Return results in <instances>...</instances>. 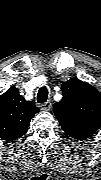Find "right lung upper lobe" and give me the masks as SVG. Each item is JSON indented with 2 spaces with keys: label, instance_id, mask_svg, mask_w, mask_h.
I'll return each mask as SVG.
<instances>
[{
  "label": "right lung upper lobe",
  "instance_id": "obj_1",
  "mask_svg": "<svg viewBox=\"0 0 101 180\" xmlns=\"http://www.w3.org/2000/svg\"><path fill=\"white\" fill-rule=\"evenodd\" d=\"M39 111L32 101H26L15 86L0 96V137L12 141L28 130L31 118Z\"/></svg>",
  "mask_w": 101,
  "mask_h": 180
}]
</instances>
